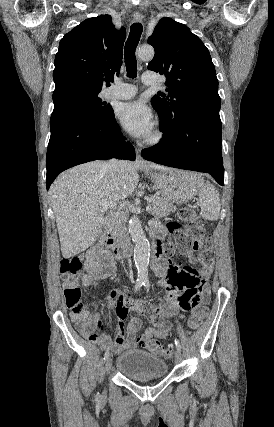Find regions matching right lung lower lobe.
<instances>
[{"label": "right lung lower lobe", "instance_id": "1", "mask_svg": "<svg viewBox=\"0 0 274 427\" xmlns=\"http://www.w3.org/2000/svg\"><path fill=\"white\" fill-rule=\"evenodd\" d=\"M113 157L135 160V150L122 136L114 111L99 119L76 116L58 122L47 149V189L59 173L70 167Z\"/></svg>", "mask_w": 274, "mask_h": 427}]
</instances>
